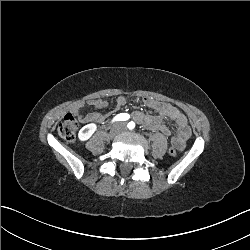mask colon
<instances>
[{
  "label": "colon",
  "instance_id": "1",
  "mask_svg": "<svg viewBox=\"0 0 250 250\" xmlns=\"http://www.w3.org/2000/svg\"><path fill=\"white\" fill-rule=\"evenodd\" d=\"M78 125V117L72 113L67 114L58 125L57 131L59 136L66 141L74 140L77 135ZM166 152L170 156H176L178 147L172 145Z\"/></svg>",
  "mask_w": 250,
  "mask_h": 250
}]
</instances>
